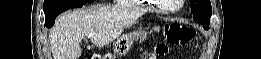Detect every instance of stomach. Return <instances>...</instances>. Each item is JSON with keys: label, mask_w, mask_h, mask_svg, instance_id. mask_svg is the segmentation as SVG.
<instances>
[{"label": "stomach", "mask_w": 261, "mask_h": 59, "mask_svg": "<svg viewBox=\"0 0 261 59\" xmlns=\"http://www.w3.org/2000/svg\"><path fill=\"white\" fill-rule=\"evenodd\" d=\"M145 37H146V32H144L143 30L133 31L127 35H123L117 39L113 51L117 55H124L130 50L135 40H138L139 38H145Z\"/></svg>", "instance_id": "1"}]
</instances>
